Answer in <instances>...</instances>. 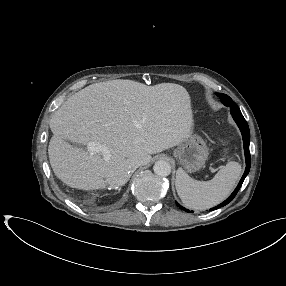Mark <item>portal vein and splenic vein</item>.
Here are the masks:
<instances>
[{
	"label": "portal vein and splenic vein",
	"instance_id": "18ae733b",
	"mask_svg": "<svg viewBox=\"0 0 286 286\" xmlns=\"http://www.w3.org/2000/svg\"><path fill=\"white\" fill-rule=\"evenodd\" d=\"M87 151L91 155L100 153L105 161H109L111 157L110 150L105 145L96 142H89L87 144Z\"/></svg>",
	"mask_w": 286,
	"mask_h": 286
}]
</instances>
